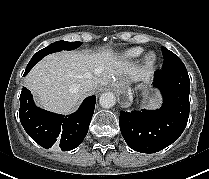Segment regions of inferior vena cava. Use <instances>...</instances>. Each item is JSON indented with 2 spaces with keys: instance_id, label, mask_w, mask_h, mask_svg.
<instances>
[{
  "instance_id": "inferior-vena-cava-1",
  "label": "inferior vena cava",
  "mask_w": 209,
  "mask_h": 179,
  "mask_svg": "<svg viewBox=\"0 0 209 179\" xmlns=\"http://www.w3.org/2000/svg\"><path fill=\"white\" fill-rule=\"evenodd\" d=\"M95 86V83L93 80L91 79H87V80H84L81 84H80V89L83 91V92H88L90 90H92Z\"/></svg>"
}]
</instances>
